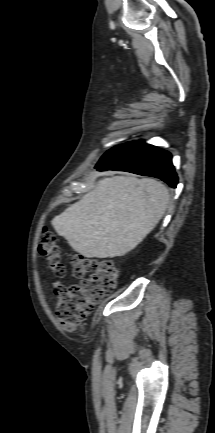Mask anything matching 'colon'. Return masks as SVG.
Here are the masks:
<instances>
[{
    "label": "colon",
    "mask_w": 215,
    "mask_h": 433,
    "mask_svg": "<svg viewBox=\"0 0 215 433\" xmlns=\"http://www.w3.org/2000/svg\"><path fill=\"white\" fill-rule=\"evenodd\" d=\"M39 252L55 275L66 274L57 237L47 228L41 232ZM71 273L81 282L55 290L56 318L59 326L67 331H73L86 322L95 305L113 291L119 277V270L113 261L83 256L72 258Z\"/></svg>",
    "instance_id": "colon-1"
}]
</instances>
